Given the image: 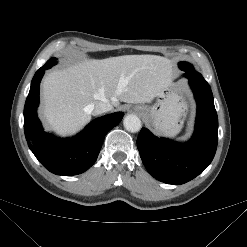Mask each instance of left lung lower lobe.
<instances>
[{
    "mask_svg": "<svg viewBox=\"0 0 247 247\" xmlns=\"http://www.w3.org/2000/svg\"><path fill=\"white\" fill-rule=\"evenodd\" d=\"M197 102L195 132L186 143L155 137L142 128L137 139L147 171L168 184H184L202 173L214 158L218 141V118L207 81L187 74Z\"/></svg>",
    "mask_w": 247,
    "mask_h": 247,
    "instance_id": "0a47b994",
    "label": "left lung lower lobe"
}]
</instances>
